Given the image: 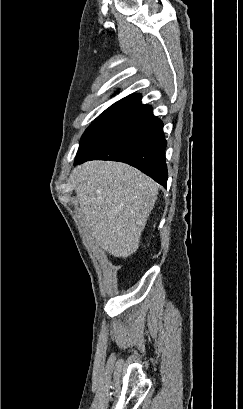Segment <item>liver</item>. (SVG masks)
Here are the masks:
<instances>
[{"label": "liver", "mask_w": 243, "mask_h": 409, "mask_svg": "<svg viewBox=\"0 0 243 409\" xmlns=\"http://www.w3.org/2000/svg\"><path fill=\"white\" fill-rule=\"evenodd\" d=\"M85 225L104 251L127 258L139 248L158 186L127 164L87 162L72 172Z\"/></svg>", "instance_id": "6515ba94"}]
</instances>
